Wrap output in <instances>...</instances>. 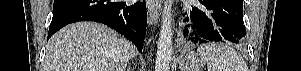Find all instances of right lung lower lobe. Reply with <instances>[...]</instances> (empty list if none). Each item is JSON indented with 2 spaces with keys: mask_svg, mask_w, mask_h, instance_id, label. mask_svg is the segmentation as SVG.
<instances>
[{
  "mask_svg": "<svg viewBox=\"0 0 301 71\" xmlns=\"http://www.w3.org/2000/svg\"><path fill=\"white\" fill-rule=\"evenodd\" d=\"M79 21L103 23L131 40L141 52L145 38V4L127 5L115 0H54L48 38L62 27Z\"/></svg>",
  "mask_w": 301,
  "mask_h": 71,
  "instance_id": "obj_1",
  "label": "right lung lower lobe"
}]
</instances>
